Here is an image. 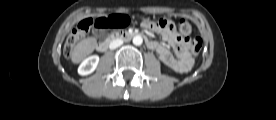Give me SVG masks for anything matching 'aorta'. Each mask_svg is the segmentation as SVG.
Masks as SVG:
<instances>
[{
  "label": "aorta",
  "mask_w": 276,
  "mask_h": 120,
  "mask_svg": "<svg viewBox=\"0 0 276 120\" xmlns=\"http://www.w3.org/2000/svg\"><path fill=\"white\" fill-rule=\"evenodd\" d=\"M143 43V38L140 35H136L133 38V44L136 46H140Z\"/></svg>",
  "instance_id": "aorta-1"
}]
</instances>
